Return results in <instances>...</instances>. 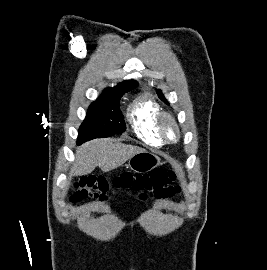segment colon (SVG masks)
Instances as JSON below:
<instances>
[{
    "instance_id": "5ec220e1",
    "label": "colon",
    "mask_w": 267,
    "mask_h": 270,
    "mask_svg": "<svg viewBox=\"0 0 267 270\" xmlns=\"http://www.w3.org/2000/svg\"><path fill=\"white\" fill-rule=\"evenodd\" d=\"M175 173L161 169L147 174L123 173L112 180L102 176L82 177L75 183L70 201L81 202L87 198L105 200L113 189H124L136 193L140 199H166L180 191L174 184Z\"/></svg>"
}]
</instances>
